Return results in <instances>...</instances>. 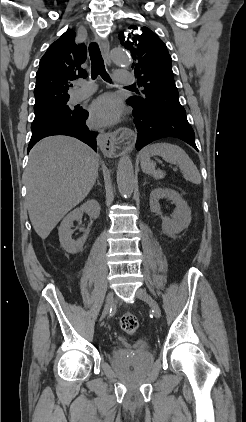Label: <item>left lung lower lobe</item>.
<instances>
[{
	"label": "left lung lower lobe",
	"mask_w": 246,
	"mask_h": 422,
	"mask_svg": "<svg viewBox=\"0 0 246 422\" xmlns=\"http://www.w3.org/2000/svg\"><path fill=\"white\" fill-rule=\"evenodd\" d=\"M134 123L137 128L136 149L141 150L147 144L164 137L179 138L194 149L195 135L188 123L186 114L166 113L158 110L145 111L134 108Z\"/></svg>",
	"instance_id": "left-lung-lower-lobe-1"
}]
</instances>
